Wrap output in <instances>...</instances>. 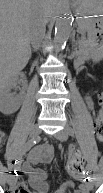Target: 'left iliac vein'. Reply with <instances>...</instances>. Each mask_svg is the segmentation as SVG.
Here are the masks:
<instances>
[{
  "instance_id": "4c4485c4",
  "label": "left iliac vein",
  "mask_w": 103,
  "mask_h": 193,
  "mask_svg": "<svg viewBox=\"0 0 103 193\" xmlns=\"http://www.w3.org/2000/svg\"><path fill=\"white\" fill-rule=\"evenodd\" d=\"M54 136H55L56 139H58L60 141H66L67 138H68V133H67V130L64 129V130H61V131L57 132ZM87 186H88V188L92 189L93 188V183L89 181L87 183Z\"/></svg>"
}]
</instances>
